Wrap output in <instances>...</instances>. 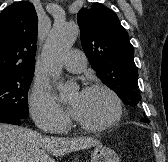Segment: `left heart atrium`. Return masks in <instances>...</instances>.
Listing matches in <instances>:
<instances>
[{
    "instance_id": "39dd6f15",
    "label": "left heart atrium",
    "mask_w": 168,
    "mask_h": 162,
    "mask_svg": "<svg viewBox=\"0 0 168 162\" xmlns=\"http://www.w3.org/2000/svg\"><path fill=\"white\" fill-rule=\"evenodd\" d=\"M71 111H72L73 115L75 116L77 113V103L72 104Z\"/></svg>"
}]
</instances>
